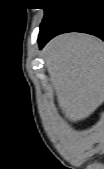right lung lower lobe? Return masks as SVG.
Masks as SVG:
<instances>
[{"instance_id":"1","label":"right lung lower lobe","mask_w":104,"mask_h":169,"mask_svg":"<svg viewBox=\"0 0 104 169\" xmlns=\"http://www.w3.org/2000/svg\"><path fill=\"white\" fill-rule=\"evenodd\" d=\"M83 32L104 40V0H70L40 29L42 48L51 38L65 32Z\"/></svg>"}]
</instances>
